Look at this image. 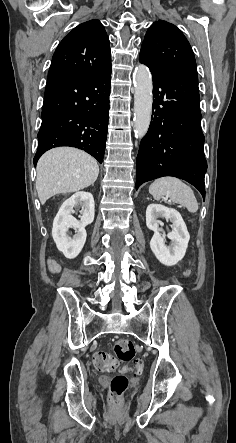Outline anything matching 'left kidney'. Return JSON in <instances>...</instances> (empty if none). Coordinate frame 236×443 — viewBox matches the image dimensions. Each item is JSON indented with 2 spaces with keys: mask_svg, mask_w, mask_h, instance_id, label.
Wrapping results in <instances>:
<instances>
[{
  "mask_svg": "<svg viewBox=\"0 0 236 443\" xmlns=\"http://www.w3.org/2000/svg\"><path fill=\"white\" fill-rule=\"evenodd\" d=\"M158 218H165L172 222V231L166 235L160 233ZM146 225L154 231L150 241V248L155 257L166 266L176 265L183 259L190 239L189 232L181 214L172 208L161 204H150L146 209ZM171 240L170 245L165 244V239Z\"/></svg>",
  "mask_w": 236,
  "mask_h": 443,
  "instance_id": "5707ae66",
  "label": "left kidney"
}]
</instances>
